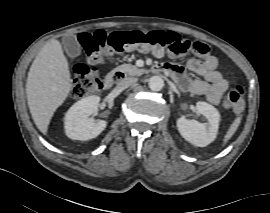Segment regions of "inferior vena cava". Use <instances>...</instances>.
Instances as JSON below:
<instances>
[{"label": "inferior vena cava", "mask_w": 270, "mask_h": 213, "mask_svg": "<svg viewBox=\"0 0 270 213\" xmlns=\"http://www.w3.org/2000/svg\"><path fill=\"white\" fill-rule=\"evenodd\" d=\"M137 81H138L137 78H131V77L123 78L122 80L118 82V88L121 90H124L134 85Z\"/></svg>", "instance_id": "obj_1"}]
</instances>
